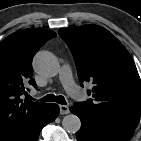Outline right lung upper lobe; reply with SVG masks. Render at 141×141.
<instances>
[{
	"mask_svg": "<svg viewBox=\"0 0 141 141\" xmlns=\"http://www.w3.org/2000/svg\"><path fill=\"white\" fill-rule=\"evenodd\" d=\"M56 33L45 29L15 32L0 42V141H9L34 118L47 103L20 99L24 83L36 86L32 78V59L38 49Z\"/></svg>",
	"mask_w": 141,
	"mask_h": 141,
	"instance_id": "obj_1",
	"label": "right lung upper lobe"
}]
</instances>
